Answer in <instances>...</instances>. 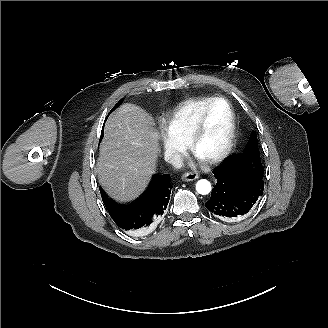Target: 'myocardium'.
I'll list each match as a JSON object with an SVG mask.
<instances>
[{
	"label": "myocardium",
	"mask_w": 328,
	"mask_h": 328,
	"mask_svg": "<svg viewBox=\"0 0 328 328\" xmlns=\"http://www.w3.org/2000/svg\"><path fill=\"white\" fill-rule=\"evenodd\" d=\"M225 103L228 108H229V113H230V128H229V133H228V138L227 141L224 145V147L215 155L202 158L205 162L209 164H216L221 161H223L225 158H227L230 153L232 152L235 141H236V135H237V121H236V114H235V109L232 105V103L224 98V97H214V99L207 104L200 112L196 122L193 125V128L191 130V133L189 135L187 145L189 149L197 155V144L205 130V125H206V119L208 116V113L210 110L217 104V103ZM198 156V155H197Z\"/></svg>",
	"instance_id": "1"
}]
</instances>
